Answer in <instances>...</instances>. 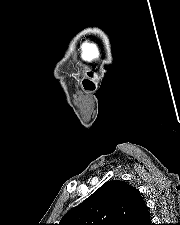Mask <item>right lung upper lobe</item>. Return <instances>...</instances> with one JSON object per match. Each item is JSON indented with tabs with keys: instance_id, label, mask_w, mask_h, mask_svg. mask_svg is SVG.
<instances>
[{
	"instance_id": "obj_1",
	"label": "right lung upper lobe",
	"mask_w": 180,
	"mask_h": 225,
	"mask_svg": "<svg viewBox=\"0 0 180 225\" xmlns=\"http://www.w3.org/2000/svg\"><path fill=\"white\" fill-rule=\"evenodd\" d=\"M139 191L119 180L109 181L77 207L59 225H151Z\"/></svg>"
}]
</instances>
